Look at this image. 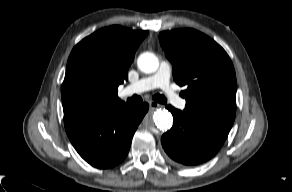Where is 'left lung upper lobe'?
<instances>
[{"instance_id":"left-lung-upper-lobe-1","label":"left lung upper lobe","mask_w":292,"mask_h":192,"mask_svg":"<svg viewBox=\"0 0 292 192\" xmlns=\"http://www.w3.org/2000/svg\"><path fill=\"white\" fill-rule=\"evenodd\" d=\"M159 40L173 64L175 82L187 88L184 113L233 123L236 76L225 50L194 29L164 31Z\"/></svg>"}]
</instances>
